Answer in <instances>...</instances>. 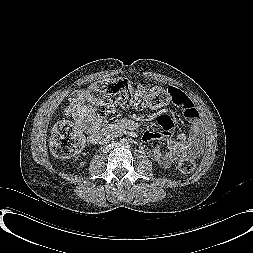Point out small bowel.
Returning <instances> with one entry per match:
<instances>
[{"label":"small bowel","instance_id":"obj_1","mask_svg":"<svg viewBox=\"0 0 253 253\" xmlns=\"http://www.w3.org/2000/svg\"><path fill=\"white\" fill-rule=\"evenodd\" d=\"M171 89L176 93L173 102L182 109L184 116L191 122L190 129L174 134V123L171 120V115L165 111L157 117L163 130L161 132L146 131L142 135L144 143L159 141L166 143L167 150H162L159 145H154L147 150L148 155L165 169L183 157H199L204 146L197 107L186 94L174 88ZM68 101L67 113L74 118L75 124L84 131L92 145L106 141L127 125V123L121 122L113 127H107L104 119L96 113V107L87 102L88 97L83 90L73 92Z\"/></svg>","mask_w":253,"mask_h":253}]
</instances>
